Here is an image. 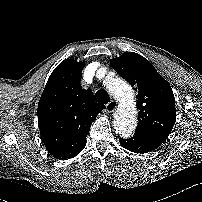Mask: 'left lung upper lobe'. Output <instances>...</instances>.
I'll return each instance as SVG.
<instances>
[{"mask_svg":"<svg viewBox=\"0 0 202 202\" xmlns=\"http://www.w3.org/2000/svg\"><path fill=\"white\" fill-rule=\"evenodd\" d=\"M111 65L138 92L135 134L167 139L176 120L170 84L147 59L134 52L112 59Z\"/></svg>","mask_w":202,"mask_h":202,"instance_id":"1","label":"left lung upper lobe"}]
</instances>
